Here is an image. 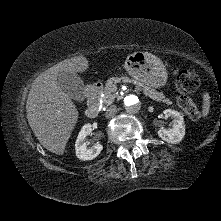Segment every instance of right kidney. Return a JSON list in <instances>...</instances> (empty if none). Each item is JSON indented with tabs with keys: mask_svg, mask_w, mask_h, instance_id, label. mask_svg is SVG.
<instances>
[{
	"mask_svg": "<svg viewBox=\"0 0 221 221\" xmlns=\"http://www.w3.org/2000/svg\"><path fill=\"white\" fill-rule=\"evenodd\" d=\"M92 132V125L85 124L76 139L75 143V150L76 156L80 160H92L96 158L103 149V146L97 143L93 148L88 149L87 144L85 142L86 137L91 134Z\"/></svg>",
	"mask_w": 221,
	"mask_h": 221,
	"instance_id": "ca27d5eb",
	"label": "right kidney"
}]
</instances>
